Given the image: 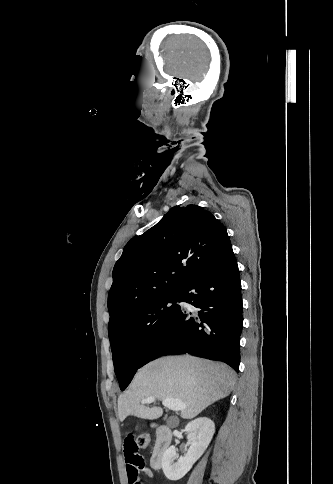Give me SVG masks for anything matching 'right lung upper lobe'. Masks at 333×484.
Returning a JSON list of instances; mask_svg holds the SVG:
<instances>
[{
  "label": "right lung upper lobe",
  "instance_id": "obj_1",
  "mask_svg": "<svg viewBox=\"0 0 333 484\" xmlns=\"http://www.w3.org/2000/svg\"><path fill=\"white\" fill-rule=\"evenodd\" d=\"M230 246L225 226L197 205L173 207L132 238L113 269L109 325L153 298L181 291Z\"/></svg>",
  "mask_w": 333,
  "mask_h": 484
}]
</instances>
